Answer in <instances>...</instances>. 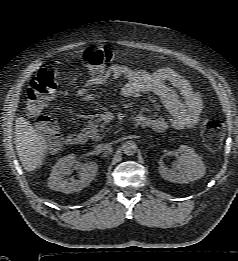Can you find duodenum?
<instances>
[{
	"instance_id": "410a0bca",
	"label": "duodenum",
	"mask_w": 238,
	"mask_h": 261,
	"mask_svg": "<svg viewBox=\"0 0 238 261\" xmlns=\"http://www.w3.org/2000/svg\"><path fill=\"white\" fill-rule=\"evenodd\" d=\"M136 125H143L145 123L144 119L141 117H137L135 119ZM86 137L82 133H73L67 136L66 142L69 146H81L85 143Z\"/></svg>"
}]
</instances>
